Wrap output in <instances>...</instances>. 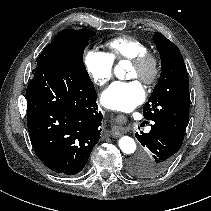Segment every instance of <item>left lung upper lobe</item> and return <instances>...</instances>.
<instances>
[{"label":"left lung upper lobe","mask_w":211,"mask_h":211,"mask_svg":"<svg viewBox=\"0 0 211 211\" xmlns=\"http://www.w3.org/2000/svg\"><path fill=\"white\" fill-rule=\"evenodd\" d=\"M162 72L148 102L143 107L146 120H166L185 131L189 118V79L178 49L161 33L155 32ZM133 173V172H132Z\"/></svg>","instance_id":"obj_1"}]
</instances>
